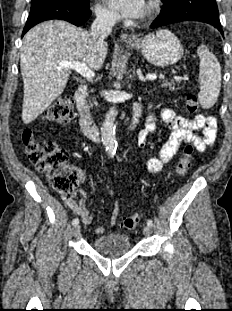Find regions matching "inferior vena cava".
Returning a JSON list of instances; mask_svg holds the SVG:
<instances>
[{"label": "inferior vena cava", "mask_w": 232, "mask_h": 311, "mask_svg": "<svg viewBox=\"0 0 232 311\" xmlns=\"http://www.w3.org/2000/svg\"><path fill=\"white\" fill-rule=\"evenodd\" d=\"M118 17L113 13L99 12L91 26V36L93 39L103 41L112 31Z\"/></svg>", "instance_id": "1"}]
</instances>
